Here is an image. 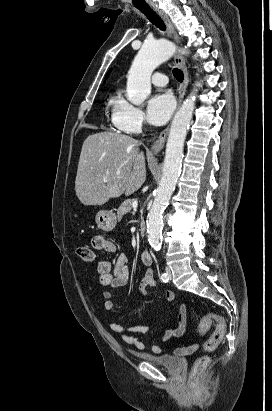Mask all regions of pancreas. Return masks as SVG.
Listing matches in <instances>:
<instances>
[{
    "instance_id": "pancreas-1",
    "label": "pancreas",
    "mask_w": 272,
    "mask_h": 411,
    "mask_svg": "<svg viewBox=\"0 0 272 411\" xmlns=\"http://www.w3.org/2000/svg\"><path fill=\"white\" fill-rule=\"evenodd\" d=\"M134 200L132 199H127L125 200L117 209V214H118V219L120 220L123 215L127 214L128 212L131 211L132 208V202Z\"/></svg>"
}]
</instances>
